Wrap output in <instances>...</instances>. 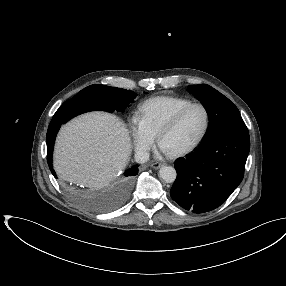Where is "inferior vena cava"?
<instances>
[{
	"label": "inferior vena cava",
	"mask_w": 286,
	"mask_h": 286,
	"mask_svg": "<svg viewBox=\"0 0 286 286\" xmlns=\"http://www.w3.org/2000/svg\"><path fill=\"white\" fill-rule=\"evenodd\" d=\"M135 161L137 163H145L149 160V153L143 150H138L135 153Z\"/></svg>",
	"instance_id": "obj_1"
}]
</instances>
